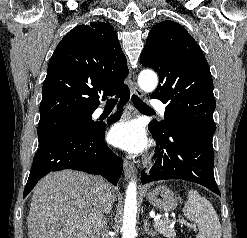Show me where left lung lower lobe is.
Instances as JSON below:
<instances>
[{
	"label": "left lung lower lobe",
	"mask_w": 247,
	"mask_h": 238,
	"mask_svg": "<svg viewBox=\"0 0 247 238\" xmlns=\"http://www.w3.org/2000/svg\"><path fill=\"white\" fill-rule=\"evenodd\" d=\"M149 130L157 141L155 165L142 171L141 181L180 179L201 184L220 195L215 182L212 138L204 132L175 123L167 134Z\"/></svg>",
	"instance_id": "1"
}]
</instances>
